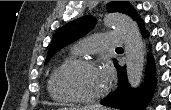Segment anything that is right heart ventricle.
Instances as JSON below:
<instances>
[{
	"label": "right heart ventricle",
	"mask_w": 171,
	"mask_h": 110,
	"mask_svg": "<svg viewBox=\"0 0 171 110\" xmlns=\"http://www.w3.org/2000/svg\"><path fill=\"white\" fill-rule=\"evenodd\" d=\"M76 52H72L68 57H66L51 73L49 79H48V83H47V88L49 91V94L51 96L52 99L58 101V102H68L69 100H67L66 98L62 97L56 90L55 85H54V77H55V73L57 71V69L66 61L74 59V57L76 56Z\"/></svg>",
	"instance_id": "1"
}]
</instances>
